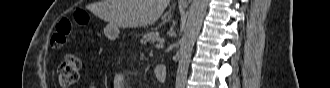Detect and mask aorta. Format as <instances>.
Masks as SVG:
<instances>
[{"label": "aorta", "instance_id": "obj_1", "mask_svg": "<svg viewBox=\"0 0 330 88\" xmlns=\"http://www.w3.org/2000/svg\"><path fill=\"white\" fill-rule=\"evenodd\" d=\"M209 0H192L188 19L180 40V59L175 88H185L192 48L201 29Z\"/></svg>", "mask_w": 330, "mask_h": 88}]
</instances>
